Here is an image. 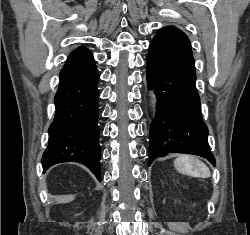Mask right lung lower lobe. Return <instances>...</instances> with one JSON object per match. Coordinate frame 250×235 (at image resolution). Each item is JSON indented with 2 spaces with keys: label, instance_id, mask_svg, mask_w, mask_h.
I'll use <instances>...</instances> for the list:
<instances>
[{
  "label": "right lung lower lobe",
  "instance_id": "right-lung-lower-lobe-1",
  "mask_svg": "<svg viewBox=\"0 0 250 235\" xmlns=\"http://www.w3.org/2000/svg\"><path fill=\"white\" fill-rule=\"evenodd\" d=\"M98 79L91 52L84 47L72 51L60 71L56 114L49 127V143L41 161L44 171L57 163L79 162L101 180Z\"/></svg>",
  "mask_w": 250,
  "mask_h": 235
}]
</instances>
